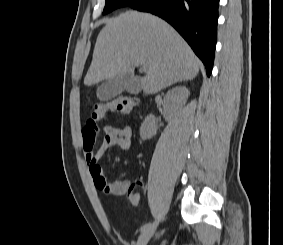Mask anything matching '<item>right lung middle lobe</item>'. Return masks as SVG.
<instances>
[{
    "label": "right lung middle lobe",
    "instance_id": "obj_1",
    "mask_svg": "<svg viewBox=\"0 0 283 245\" xmlns=\"http://www.w3.org/2000/svg\"><path fill=\"white\" fill-rule=\"evenodd\" d=\"M139 1L140 0H106V5L103 14H107L120 7L132 6Z\"/></svg>",
    "mask_w": 283,
    "mask_h": 245
}]
</instances>
